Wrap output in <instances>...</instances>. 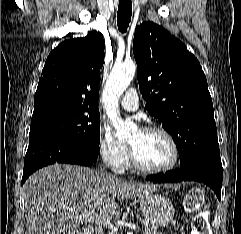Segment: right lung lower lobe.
<instances>
[{"mask_svg": "<svg viewBox=\"0 0 241 234\" xmlns=\"http://www.w3.org/2000/svg\"><path fill=\"white\" fill-rule=\"evenodd\" d=\"M98 155L75 143L59 138H49L29 143L25 155L22 184L37 169L54 163H70L90 166Z\"/></svg>", "mask_w": 241, "mask_h": 234, "instance_id": "98d812e1", "label": "right lung lower lobe"}]
</instances>
